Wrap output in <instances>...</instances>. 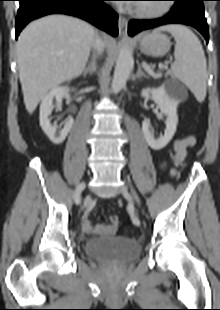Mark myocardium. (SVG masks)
<instances>
[{
    "instance_id": "f54148a6",
    "label": "myocardium",
    "mask_w": 220,
    "mask_h": 310,
    "mask_svg": "<svg viewBox=\"0 0 220 310\" xmlns=\"http://www.w3.org/2000/svg\"><path fill=\"white\" fill-rule=\"evenodd\" d=\"M170 9V5L161 3L150 7H138L134 10V14L140 17H159L166 14Z\"/></svg>"
}]
</instances>
